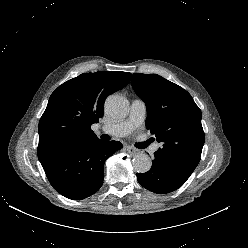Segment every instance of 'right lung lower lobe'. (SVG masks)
I'll use <instances>...</instances> for the list:
<instances>
[{"label": "right lung lower lobe", "mask_w": 248, "mask_h": 248, "mask_svg": "<svg viewBox=\"0 0 248 248\" xmlns=\"http://www.w3.org/2000/svg\"><path fill=\"white\" fill-rule=\"evenodd\" d=\"M122 147L117 141L97 137L73 141L42 164L46 176L61 195L81 200L94 194L103 184L104 163Z\"/></svg>", "instance_id": "98d812e1"}]
</instances>
